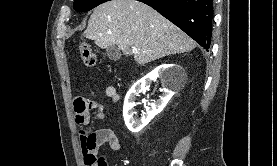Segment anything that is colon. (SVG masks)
Here are the masks:
<instances>
[{"label":"colon","instance_id":"obj_1","mask_svg":"<svg viewBox=\"0 0 277 166\" xmlns=\"http://www.w3.org/2000/svg\"><path fill=\"white\" fill-rule=\"evenodd\" d=\"M80 55L83 60V63L86 67L92 68L96 64V56L94 52L91 50V48L84 42H81L79 45ZM91 161L96 166H104V162L97 158H92Z\"/></svg>","mask_w":277,"mask_h":166}]
</instances>
